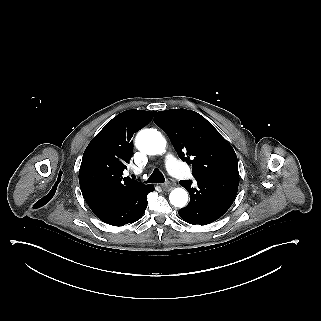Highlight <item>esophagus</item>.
<instances>
[{"label":"esophagus","instance_id":"obj_1","mask_svg":"<svg viewBox=\"0 0 321 321\" xmlns=\"http://www.w3.org/2000/svg\"><path fill=\"white\" fill-rule=\"evenodd\" d=\"M172 180V179H171ZM173 181V180H172ZM175 186V184L173 182H169L166 184H162V189L166 192L170 191L173 187Z\"/></svg>","mask_w":321,"mask_h":321}]
</instances>
